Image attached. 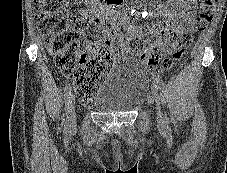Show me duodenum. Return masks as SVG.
Masks as SVG:
<instances>
[{"instance_id":"obj_1","label":"duodenum","mask_w":227,"mask_h":173,"mask_svg":"<svg viewBox=\"0 0 227 173\" xmlns=\"http://www.w3.org/2000/svg\"><path fill=\"white\" fill-rule=\"evenodd\" d=\"M109 6H114L122 2V0H104Z\"/></svg>"}]
</instances>
